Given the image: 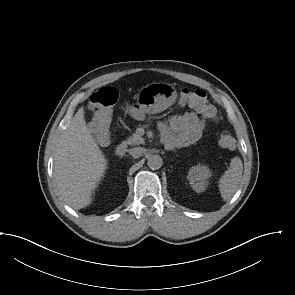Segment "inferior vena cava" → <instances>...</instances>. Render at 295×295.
Instances as JSON below:
<instances>
[{
    "mask_svg": "<svg viewBox=\"0 0 295 295\" xmlns=\"http://www.w3.org/2000/svg\"><path fill=\"white\" fill-rule=\"evenodd\" d=\"M144 150L141 147L132 148L129 150V154L134 157L138 158L143 154Z\"/></svg>",
    "mask_w": 295,
    "mask_h": 295,
    "instance_id": "inferior-vena-cava-1",
    "label": "inferior vena cava"
}]
</instances>
